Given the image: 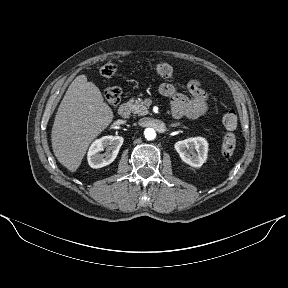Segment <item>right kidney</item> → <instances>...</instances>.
I'll use <instances>...</instances> for the list:
<instances>
[{
	"label": "right kidney",
	"instance_id": "ca27d5eb",
	"mask_svg": "<svg viewBox=\"0 0 288 288\" xmlns=\"http://www.w3.org/2000/svg\"><path fill=\"white\" fill-rule=\"evenodd\" d=\"M123 137L104 136L95 140L88 151V163L90 167L97 169L109 165L117 157L120 147L123 144ZM106 149L104 154L100 152Z\"/></svg>",
	"mask_w": 288,
	"mask_h": 288
}]
</instances>
